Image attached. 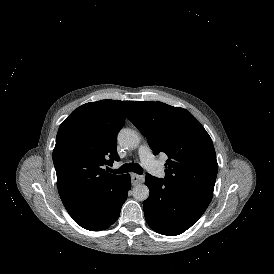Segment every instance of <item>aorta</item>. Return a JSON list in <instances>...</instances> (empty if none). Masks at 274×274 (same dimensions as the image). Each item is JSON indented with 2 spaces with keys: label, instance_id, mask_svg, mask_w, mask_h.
Wrapping results in <instances>:
<instances>
[{
  "label": "aorta",
  "instance_id": "obj_1",
  "mask_svg": "<svg viewBox=\"0 0 274 274\" xmlns=\"http://www.w3.org/2000/svg\"><path fill=\"white\" fill-rule=\"evenodd\" d=\"M118 142L125 148H135L140 143V137L137 131L123 128L118 134ZM132 192L137 201H145L149 197V188L145 184L136 185Z\"/></svg>",
  "mask_w": 274,
  "mask_h": 274
}]
</instances>
